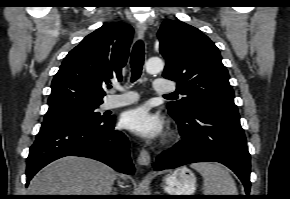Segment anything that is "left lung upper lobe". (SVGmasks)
Here are the masks:
<instances>
[{
	"mask_svg": "<svg viewBox=\"0 0 290 199\" xmlns=\"http://www.w3.org/2000/svg\"><path fill=\"white\" fill-rule=\"evenodd\" d=\"M166 59L164 78L177 81L184 97L168 103V112L181 117L195 107L239 116L229 74L215 44L200 30L181 21L165 20L158 32Z\"/></svg>",
	"mask_w": 290,
	"mask_h": 199,
	"instance_id": "obj_1",
	"label": "left lung upper lobe"
}]
</instances>
